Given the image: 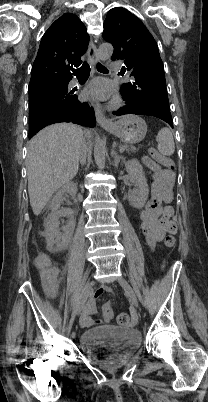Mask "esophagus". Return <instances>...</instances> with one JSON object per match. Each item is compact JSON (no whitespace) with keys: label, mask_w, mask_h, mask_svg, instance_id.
Segmentation results:
<instances>
[{"label":"esophagus","mask_w":208,"mask_h":402,"mask_svg":"<svg viewBox=\"0 0 208 402\" xmlns=\"http://www.w3.org/2000/svg\"><path fill=\"white\" fill-rule=\"evenodd\" d=\"M87 58H88V62L94 66L97 62H98V50L96 45L93 43V41L91 40L87 49ZM94 109H95V115H96V119H97V123H99V125L101 126H109L112 123L110 122V120H108V118L104 115L103 110L101 108L100 105H94Z\"/></svg>","instance_id":"1"}]
</instances>
